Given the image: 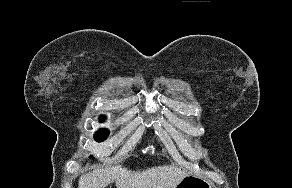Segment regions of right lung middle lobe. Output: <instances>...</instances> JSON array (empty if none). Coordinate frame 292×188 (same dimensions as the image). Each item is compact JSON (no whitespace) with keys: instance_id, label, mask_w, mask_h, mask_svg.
I'll list each match as a JSON object with an SVG mask.
<instances>
[{"instance_id":"1","label":"right lung middle lobe","mask_w":292,"mask_h":188,"mask_svg":"<svg viewBox=\"0 0 292 188\" xmlns=\"http://www.w3.org/2000/svg\"><path fill=\"white\" fill-rule=\"evenodd\" d=\"M100 120L103 121V117H100ZM108 131L107 130H104V129H101L100 131H98L95 135V139L98 141V142H102L103 140L106 139L107 135H108Z\"/></svg>"}]
</instances>
